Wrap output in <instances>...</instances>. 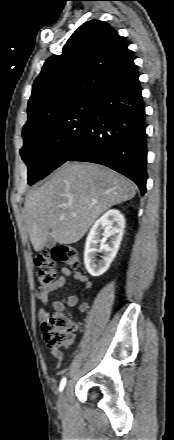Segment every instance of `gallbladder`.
<instances>
[{
	"label": "gallbladder",
	"mask_w": 174,
	"mask_h": 440,
	"mask_svg": "<svg viewBox=\"0 0 174 440\" xmlns=\"http://www.w3.org/2000/svg\"><path fill=\"white\" fill-rule=\"evenodd\" d=\"M56 244V241L53 239L51 233L48 234L46 240V247L51 248Z\"/></svg>",
	"instance_id": "gallbladder-1"
}]
</instances>
